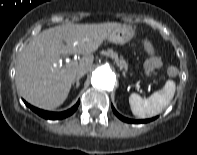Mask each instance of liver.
<instances>
[{"label": "liver", "instance_id": "obj_1", "mask_svg": "<svg viewBox=\"0 0 197 155\" xmlns=\"http://www.w3.org/2000/svg\"><path fill=\"white\" fill-rule=\"evenodd\" d=\"M119 26V23L66 24L42 31L17 59L16 85L22 97L42 109L60 106L69 94L77 71L92 68L93 53ZM61 54H82L83 57L68 67L60 65Z\"/></svg>", "mask_w": 197, "mask_h": 155}]
</instances>
